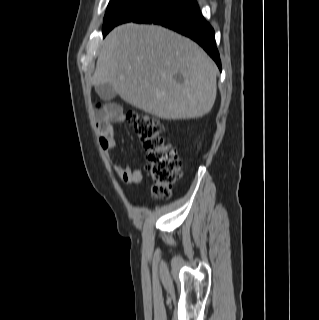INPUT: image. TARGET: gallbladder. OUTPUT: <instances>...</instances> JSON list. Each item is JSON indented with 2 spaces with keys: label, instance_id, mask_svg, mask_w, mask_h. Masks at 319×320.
Listing matches in <instances>:
<instances>
[{
  "label": "gallbladder",
  "instance_id": "1",
  "mask_svg": "<svg viewBox=\"0 0 319 320\" xmlns=\"http://www.w3.org/2000/svg\"><path fill=\"white\" fill-rule=\"evenodd\" d=\"M95 89L99 97L105 101H109L117 95L116 91L108 83L97 85Z\"/></svg>",
  "mask_w": 319,
  "mask_h": 320
}]
</instances>
